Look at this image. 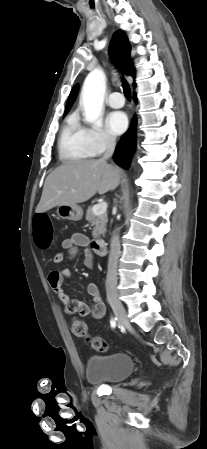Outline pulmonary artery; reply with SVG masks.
Instances as JSON below:
<instances>
[{
	"label": "pulmonary artery",
	"mask_w": 207,
	"mask_h": 449,
	"mask_svg": "<svg viewBox=\"0 0 207 449\" xmlns=\"http://www.w3.org/2000/svg\"><path fill=\"white\" fill-rule=\"evenodd\" d=\"M125 100L120 92H113L107 99V104L112 108H120L124 105Z\"/></svg>",
	"instance_id": "obj_1"
}]
</instances>
